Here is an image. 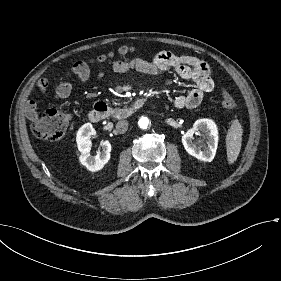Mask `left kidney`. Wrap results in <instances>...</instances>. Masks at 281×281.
<instances>
[{"label": "left kidney", "mask_w": 281, "mask_h": 281, "mask_svg": "<svg viewBox=\"0 0 281 281\" xmlns=\"http://www.w3.org/2000/svg\"><path fill=\"white\" fill-rule=\"evenodd\" d=\"M202 132L206 138V146L198 147L193 142V135ZM217 129L213 121L208 119L197 120L193 127L188 129L182 136V143L185 150L197 159L205 162H211L215 156L217 148Z\"/></svg>", "instance_id": "left-kidney-1"}]
</instances>
